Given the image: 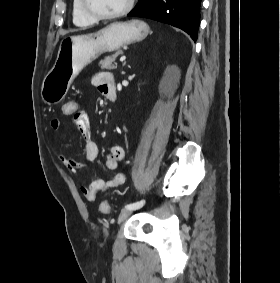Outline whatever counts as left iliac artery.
<instances>
[{"mask_svg": "<svg viewBox=\"0 0 280 283\" xmlns=\"http://www.w3.org/2000/svg\"><path fill=\"white\" fill-rule=\"evenodd\" d=\"M145 204V200H141L132 204H128L125 206V208H130V209H138L140 207H142Z\"/></svg>", "mask_w": 280, "mask_h": 283, "instance_id": "44dca946", "label": "left iliac artery"}]
</instances>
